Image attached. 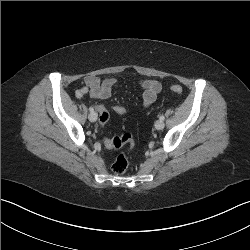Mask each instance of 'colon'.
Here are the masks:
<instances>
[{"instance_id":"5ec220e1","label":"colon","mask_w":250,"mask_h":250,"mask_svg":"<svg viewBox=\"0 0 250 250\" xmlns=\"http://www.w3.org/2000/svg\"><path fill=\"white\" fill-rule=\"evenodd\" d=\"M170 89L176 94H181L183 91L182 87L178 84L171 85ZM112 111L119 117L126 115V108L121 104L114 105ZM108 120H109V113L105 108H103L100 111L99 115L100 126L103 127L108 122ZM99 142L102 145H104V147L107 150L120 149L124 146H126L128 150H131L135 145L134 137L130 133H124L122 135L113 138H110L107 134H102L99 137ZM127 168H128L127 155L125 153L118 154L112 164V171L117 175H122L126 172Z\"/></svg>"}]
</instances>
